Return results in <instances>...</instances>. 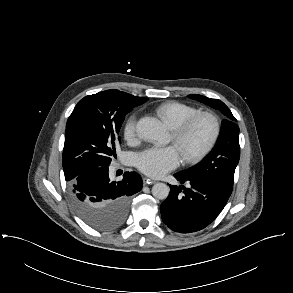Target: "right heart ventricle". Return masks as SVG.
<instances>
[{
  "label": "right heart ventricle",
  "instance_id": "right-heart-ventricle-1",
  "mask_svg": "<svg viewBox=\"0 0 293 293\" xmlns=\"http://www.w3.org/2000/svg\"><path fill=\"white\" fill-rule=\"evenodd\" d=\"M199 112L197 107L178 101H167L156 107V113L171 129Z\"/></svg>",
  "mask_w": 293,
  "mask_h": 293
}]
</instances>
